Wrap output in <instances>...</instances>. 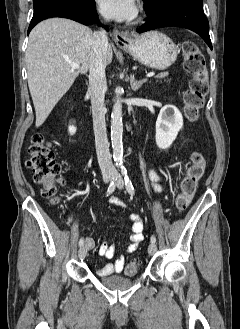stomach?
<instances>
[{
	"instance_id": "0dacf381",
	"label": "stomach",
	"mask_w": 240,
	"mask_h": 329,
	"mask_svg": "<svg viewBox=\"0 0 240 329\" xmlns=\"http://www.w3.org/2000/svg\"><path fill=\"white\" fill-rule=\"evenodd\" d=\"M137 61L154 69H166L175 62L178 50L173 41L158 31L143 33L121 47Z\"/></svg>"
}]
</instances>
